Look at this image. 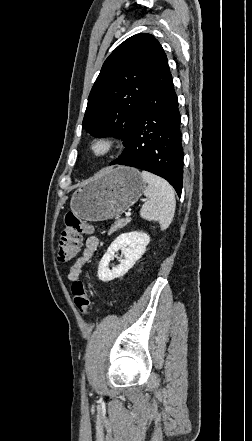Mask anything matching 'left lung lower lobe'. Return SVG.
I'll return each mask as SVG.
<instances>
[{"label": "left lung lower lobe", "mask_w": 252, "mask_h": 441, "mask_svg": "<svg viewBox=\"0 0 252 441\" xmlns=\"http://www.w3.org/2000/svg\"><path fill=\"white\" fill-rule=\"evenodd\" d=\"M149 171L182 191L183 149L177 95L162 52L125 149L110 165Z\"/></svg>", "instance_id": "1"}]
</instances>
